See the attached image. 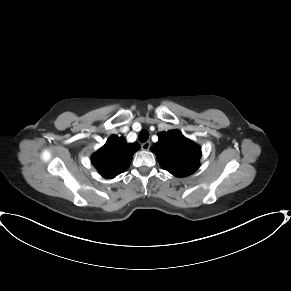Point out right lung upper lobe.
<instances>
[{"instance_id":"obj_1","label":"right lung upper lobe","mask_w":291,"mask_h":291,"mask_svg":"<svg viewBox=\"0 0 291 291\" xmlns=\"http://www.w3.org/2000/svg\"><path fill=\"white\" fill-rule=\"evenodd\" d=\"M140 148L135 142L128 144L123 137L112 135L95 154L92 164L107 179H112L124 172L130 165L133 154Z\"/></svg>"}]
</instances>
